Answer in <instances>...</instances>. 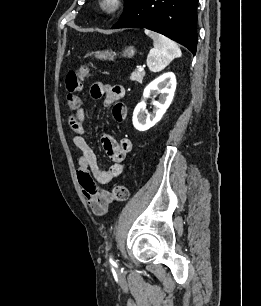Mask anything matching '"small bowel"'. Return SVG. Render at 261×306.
Here are the masks:
<instances>
[{"label":"small bowel","mask_w":261,"mask_h":306,"mask_svg":"<svg viewBox=\"0 0 261 306\" xmlns=\"http://www.w3.org/2000/svg\"><path fill=\"white\" fill-rule=\"evenodd\" d=\"M91 97L99 99L104 97L103 104L112 106V116L116 122H122L127 114L126 106L121 103L125 89L120 85L95 83L90 90ZM71 127L75 132L74 145L79 149L77 178L82 188L87 203L95 215H104L113 198L109 191L99 187L111 183L125 168V160L132 149L129 138L116 140L110 135L103 134L101 141L109 157L114 162L108 169H103L98 164L97 156L86 140L87 124L86 110L79 107L71 119Z\"/></svg>","instance_id":"obj_1"}]
</instances>
